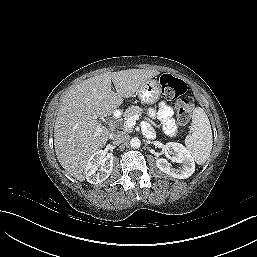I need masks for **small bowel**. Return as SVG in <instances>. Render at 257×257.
<instances>
[{
    "mask_svg": "<svg viewBox=\"0 0 257 257\" xmlns=\"http://www.w3.org/2000/svg\"><path fill=\"white\" fill-rule=\"evenodd\" d=\"M150 115H157V117L163 122L164 129L167 133L172 134L175 132L176 127L174 121L171 119L172 110L164 102H162L157 110H150Z\"/></svg>",
    "mask_w": 257,
    "mask_h": 257,
    "instance_id": "c3829d8e",
    "label": "small bowel"
}]
</instances>
